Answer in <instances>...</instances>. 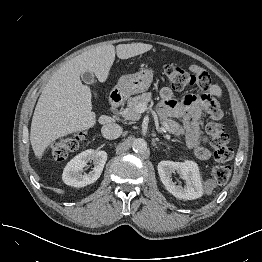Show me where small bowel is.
<instances>
[{
    "label": "small bowel",
    "instance_id": "1",
    "mask_svg": "<svg viewBox=\"0 0 262 262\" xmlns=\"http://www.w3.org/2000/svg\"><path fill=\"white\" fill-rule=\"evenodd\" d=\"M189 70L193 74H199L202 70L199 66L192 64ZM199 82L203 86V91L199 95H187L180 102L174 98V93L169 87H164L160 91V107L163 111H171L175 117L182 121L183 143L189 148H195L199 159L208 160L212 153L208 148L200 145L201 142L208 141V135L201 133V116L207 113L213 120L222 117L220 100L222 96L221 88L213 84L209 76L200 78Z\"/></svg>",
    "mask_w": 262,
    "mask_h": 262
}]
</instances>
